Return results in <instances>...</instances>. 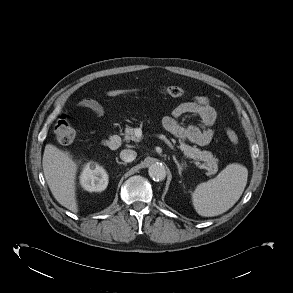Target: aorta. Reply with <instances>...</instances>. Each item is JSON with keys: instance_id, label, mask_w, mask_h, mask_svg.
Segmentation results:
<instances>
[{"instance_id": "1", "label": "aorta", "mask_w": 293, "mask_h": 293, "mask_svg": "<svg viewBox=\"0 0 293 293\" xmlns=\"http://www.w3.org/2000/svg\"><path fill=\"white\" fill-rule=\"evenodd\" d=\"M148 173L154 181H162L166 177V169L160 163L152 164L148 169Z\"/></svg>"}]
</instances>
